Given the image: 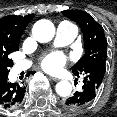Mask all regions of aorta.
Masks as SVG:
<instances>
[{
    "label": "aorta",
    "instance_id": "aorta-1",
    "mask_svg": "<svg viewBox=\"0 0 117 117\" xmlns=\"http://www.w3.org/2000/svg\"><path fill=\"white\" fill-rule=\"evenodd\" d=\"M34 38L41 43L49 42L55 35L54 24L49 20L37 21L32 29ZM72 92V85L68 81H60L56 84V93L61 97H67Z\"/></svg>",
    "mask_w": 117,
    "mask_h": 117
}]
</instances>
